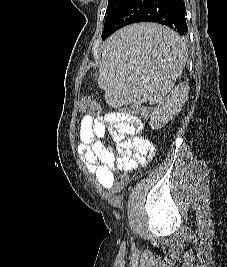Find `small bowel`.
Segmentation results:
<instances>
[{
	"mask_svg": "<svg viewBox=\"0 0 227 267\" xmlns=\"http://www.w3.org/2000/svg\"><path fill=\"white\" fill-rule=\"evenodd\" d=\"M111 127V135L118 147H108L102 141ZM141 120L131 113L113 112L104 116L84 115L79 125L78 152L85 168L100 186H114L113 173L120 169L135 170L144 166L155 154L153 143L140 135Z\"/></svg>",
	"mask_w": 227,
	"mask_h": 267,
	"instance_id": "obj_1",
	"label": "small bowel"
}]
</instances>
